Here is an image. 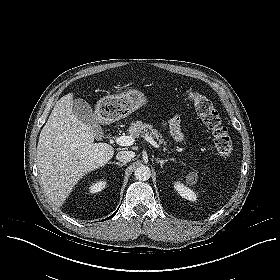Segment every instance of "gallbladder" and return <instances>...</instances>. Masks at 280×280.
Masks as SVG:
<instances>
[{
  "mask_svg": "<svg viewBox=\"0 0 280 280\" xmlns=\"http://www.w3.org/2000/svg\"><path fill=\"white\" fill-rule=\"evenodd\" d=\"M72 110L79 120L92 128L95 138L101 140L103 129L98 123L91 105L84 99H74Z\"/></svg>",
  "mask_w": 280,
  "mask_h": 280,
  "instance_id": "bac80fb5",
  "label": "gallbladder"
}]
</instances>
